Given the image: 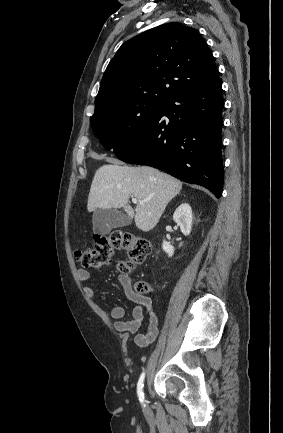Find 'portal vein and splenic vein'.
I'll list each match as a JSON object with an SVG mask.
<instances>
[{
	"instance_id": "obj_1",
	"label": "portal vein and splenic vein",
	"mask_w": 283,
	"mask_h": 433,
	"mask_svg": "<svg viewBox=\"0 0 283 433\" xmlns=\"http://www.w3.org/2000/svg\"><path fill=\"white\" fill-rule=\"evenodd\" d=\"M132 202H139V204H144L145 200H137V198H132Z\"/></svg>"
}]
</instances>
